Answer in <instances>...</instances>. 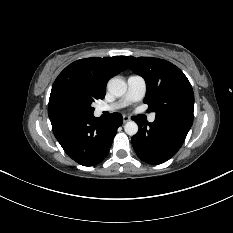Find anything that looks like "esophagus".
Wrapping results in <instances>:
<instances>
[{
    "mask_svg": "<svg viewBox=\"0 0 233 233\" xmlns=\"http://www.w3.org/2000/svg\"><path fill=\"white\" fill-rule=\"evenodd\" d=\"M128 121H130V117L127 115H123V122L126 123Z\"/></svg>",
    "mask_w": 233,
    "mask_h": 233,
    "instance_id": "34e87169",
    "label": "esophagus"
}]
</instances>
